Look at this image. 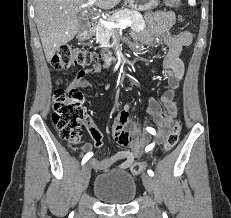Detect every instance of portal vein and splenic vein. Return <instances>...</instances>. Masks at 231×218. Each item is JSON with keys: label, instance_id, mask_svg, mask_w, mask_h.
Wrapping results in <instances>:
<instances>
[{"label": "portal vein and splenic vein", "instance_id": "portal-vein-and-splenic-vein-1", "mask_svg": "<svg viewBox=\"0 0 231 218\" xmlns=\"http://www.w3.org/2000/svg\"><path fill=\"white\" fill-rule=\"evenodd\" d=\"M96 0H89L87 3L81 4L79 8L84 9L86 7L92 6ZM99 23L103 24L107 28H118V27H126L131 26L132 22L130 20H122L120 22L113 21H105L103 19H99Z\"/></svg>", "mask_w": 231, "mask_h": 218}]
</instances>
